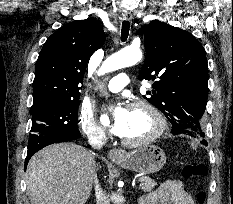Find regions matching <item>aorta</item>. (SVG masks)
<instances>
[{
    "label": "aorta",
    "instance_id": "1",
    "mask_svg": "<svg viewBox=\"0 0 233 204\" xmlns=\"http://www.w3.org/2000/svg\"><path fill=\"white\" fill-rule=\"evenodd\" d=\"M142 59V52L140 49H135V48H125L109 58H107L100 70H99V75H103L108 72H112L124 67L132 66L136 63H138ZM100 121L102 123H107L108 122V116L107 115H102L100 117Z\"/></svg>",
    "mask_w": 233,
    "mask_h": 204
}]
</instances>
